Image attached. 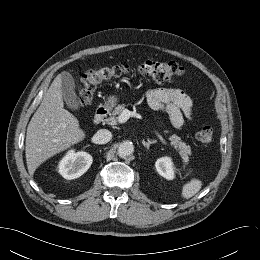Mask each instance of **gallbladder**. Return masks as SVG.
<instances>
[{"mask_svg":"<svg viewBox=\"0 0 260 260\" xmlns=\"http://www.w3.org/2000/svg\"><path fill=\"white\" fill-rule=\"evenodd\" d=\"M62 94L67 107L71 110H78L80 108L79 101L75 93V82L69 72H62Z\"/></svg>","mask_w":260,"mask_h":260,"instance_id":"bac80fb5","label":"gallbladder"}]
</instances>
